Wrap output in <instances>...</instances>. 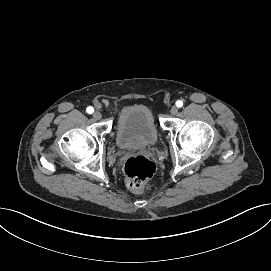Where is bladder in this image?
<instances>
[{
  "label": "bladder",
  "mask_w": 271,
  "mask_h": 271,
  "mask_svg": "<svg viewBox=\"0 0 271 271\" xmlns=\"http://www.w3.org/2000/svg\"><path fill=\"white\" fill-rule=\"evenodd\" d=\"M114 136L119 148L126 150L135 145L151 146L158 137V129L149 108L135 104L124 109L119 116Z\"/></svg>",
  "instance_id": "1"
}]
</instances>
